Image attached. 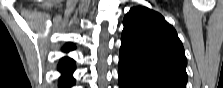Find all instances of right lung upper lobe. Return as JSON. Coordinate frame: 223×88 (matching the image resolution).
<instances>
[{
    "instance_id": "1",
    "label": "right lung upper lobe",
    "mask_w": 223,
    "mask_h": 88,
    "mask_svg": "<svg viewBox=\"0 0 223 88\" xmlns=\"http://www.w3.org/2000/svg\"><path fill=\"white\" fill-rule=\"evenodd\" d=\"M74 49V45L71 43H68L64 47V51H69ZM58 69L64 74V79L70 78V74L75 69V65L72 59L70 58H63L60 63Z\"/></svg>"
}]
</instances>
